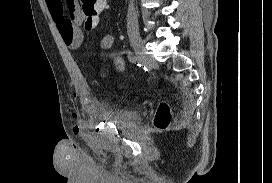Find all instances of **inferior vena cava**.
Listing matches in <instances>:
<instances>
[{
  "label": "inferior vena cava",
  "instance_id": "602c4592",
  "mask_svg": "<svg viewBox=\"0 0 272 183\" xmlns=\"http://www.w3.org/2000/svg\"><path fill=\"white\" fill-rule=\"evenodd\" d=\"M138 28V20L136 10L134 8L133 0H130L127 14V29L128 31Z\"/></svg>",
  "mask_w": 272,
  "mask_h": 183
}]
</instances>
